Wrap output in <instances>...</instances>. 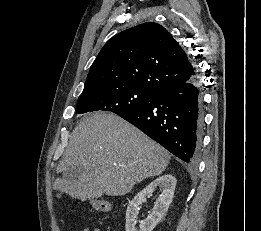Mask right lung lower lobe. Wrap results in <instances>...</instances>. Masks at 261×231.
Masks as SVG:
<instances>
[{"instance_id": "98d812e1", "label": "right lung lower lobe", "mask_w": 261, "mask_h": 231, "mask_svg": "<svg viewBox=\"0 0 261 231\" xmlns=\"http://www.w3.org/2000/svg\"><path fill=\"white\" fill-rule=\"evenodd\" d=\"M186 163L199 157L203 127L197 78L173 86L144 106L119 115Z\"/></svg>"}]
</instances>
